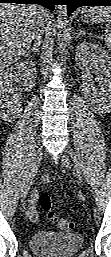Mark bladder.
<instances>
[{
    "label": "bladder",
    "instance_id": "1",
    "mask_svg": "<svg viewBox=\"0 0 111 257\" xmlns=\"http://www.w3.org/2000/svg\"><path fill=\"white\" fill-rule=\"evenodd\" d=\"M83 242L79 233L40 231L31 236L29 245L40 257H72L82 249Z\"/></svg>",
    "mask_w": 111,
    "mask_h": 257
}]
</instances>
